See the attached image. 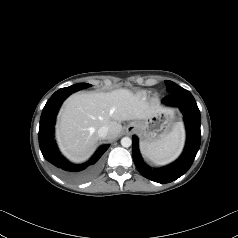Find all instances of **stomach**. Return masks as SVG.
Listing matches in <instances>:
<instances>
[{"label": "stomach", "mask_w": 238, "mask_h": 238, "mask_svg": "<svg viewBox=\"0 0 238 238\" xmlns=\"http://www.w3.org/2000/svg\"><path fill=\"white\" fill-rule=\"evenodd\" d=\"M175 125V114L171 109H161L146 119L130 123V127L141 138L142 145H148L164 138Z\"/></svg>", "instance_id": "obj_1"}]
</instances>
